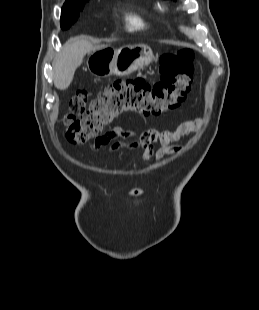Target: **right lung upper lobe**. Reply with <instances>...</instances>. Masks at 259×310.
Returning <instances> with one entry per match:
<instances>
[{"mask_svg":"<svg viewBox=\"0 0 259 310\" xmlns=\"http://www.w3.org/2000/svg\"><path fill=\"white\" fill-rule=\"evenodd\" d=\"M84 1H89V0H66V2L63 5L62 10L70 9L74 6L79 5L81 2H84Z\"/></svg>","mask_w":259,"mask_h":310,"instance_id":"1","label":"right lung upper lobe"}]
</instances>
